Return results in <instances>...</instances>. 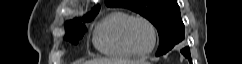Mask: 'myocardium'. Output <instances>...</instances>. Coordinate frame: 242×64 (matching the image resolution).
<instances>
[{
    "label": "myocardium",
    "mask_w": 242,
    "mask_h": 64,
    "mask_svg": "<svg viewBox=\"0 0 242 64\" xmlns=\"http://www.w3.org/2000/svg\"><path fill=\"white\" fill-rule=\"evenodd\" d=\"M135 21H143L144 23L147 24V26L150 28L151 33H152V37H153V43L150 49L146 50V51H138L136 50L131 41H130V37H129V30L131 25L135 22ZM123 41L126 45V47L129 49L130 52H132L134 55L136 56H146L149 55L150 53H152L157 45V40H158V35H157V30L155 25L145 16L142 15H136V16H131L130 19L126 22L124 28H123Z\"/></svg>",
    "instance_id": "1"
}]
</instances>
